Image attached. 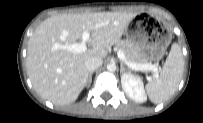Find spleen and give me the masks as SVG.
<instances>
[{"mask_svg": "<svg viewBox=\"0 0 203 123\" xmlns=\"http://www.w3.org/2000/svg\"><path fill=\"white\" fill-rule=\"evenodd\" d=\"M184 71V59L177 43L172 44L169 55L159 76L146 85L149 99L162 103L169 99L177 90Z\"/></svg>", "mask_w": 203, "mask_h": 123, "instance_id": "spleen-1", "label": "spleen"}]
</instances>
